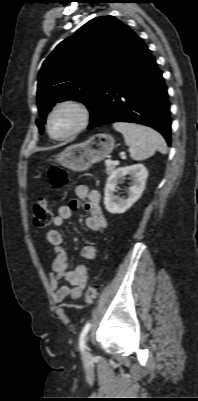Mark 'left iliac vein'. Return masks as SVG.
Instances as JSON below:
<instances>
[{
	"mask_svg": "<svg viewBox=\"0 0 198 401\" xmlns=\"http://www.w3.org/2000/svg\"><path fill=\"white\" fill-rule=\"evenodd\" d=\"M87 339H88V338L86 337L85 340L87 341ZM84 355H85L86 357L90 356V353H89V351H88L87 348L85 349Z\"/></svg>",
	"mask_w": 198,
	"mask_h": 401,
	"instance_id": "4c4485c4",
	"label": "left iliac vein"
}]
</instances>
